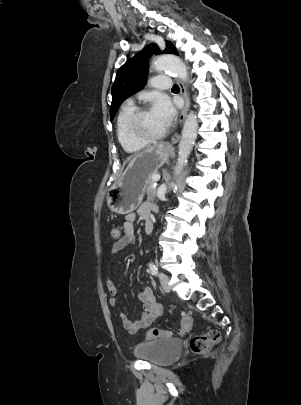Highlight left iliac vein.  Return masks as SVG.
Returning a JSON list of instances; mask_svg holds the SVG:
<instances>
[{
  "instance_id": "4c4485c4",
  "label": "left iliac vein",
  "mask_w": 301,
  "mask_h": 405,
  "mask_svg": "<svg viewBox=\"0 0 301 405\" xmlns=\"http://www.w3.org/2000/svg\"><path fill=\"white\" fill-rule=\"evenodd\" d=\"M159 281L161 283V286H162L163 290L166 291V292H169L170 291L169 277L166 274L160 272L159 273Z\"/></svg>"
}]
</instances>
